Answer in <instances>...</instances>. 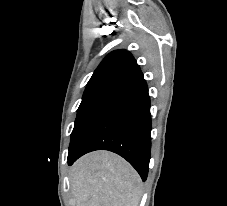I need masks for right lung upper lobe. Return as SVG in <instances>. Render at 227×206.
I'll use <instances>...</instances> for the list:
<instances>
[{
    "label": "right lung upper lobe",
    "mask_w": 227,
    "mask_h": 206,
    "mask_svg": "<svg viewBox=\"0 0 227 206\" xmlns=\"http://www.w3.org/2000/svg\"><path fill=\"white\" fill-rule=\"evenodd\" d=\"M143 78L139 65L125 50H115L108 54L90 78L88 85L104 81L133 83Z\"/></svg>",
    "instance_id": "1"
}]
</instances>
